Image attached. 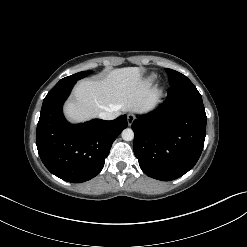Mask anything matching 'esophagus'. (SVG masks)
<instances>
[{"label":"esophagus","mask_w":247,"mask_h":247,"mask_svg":"<svg viewBox=\"0 0 247 247\" xmlns=\"http://www.w3.org/2000/svg\"><path fill=\"white\" fill-rule=\"evenodd\" d=\"M134 120H135V116L133 114L130 113V114L127 115V122H128V125L129 126L132 125V123L134 122Z\"/></svg>","instance_id":"obj_1"}]
</instances>
